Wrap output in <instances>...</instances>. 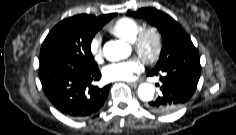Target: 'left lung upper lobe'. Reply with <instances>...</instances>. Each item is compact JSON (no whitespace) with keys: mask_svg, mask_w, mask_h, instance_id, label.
Segmentation results:
<instances>
[{"mask_svg":"<svg viewBox=\"0 0 236 135\" xmlns=\"http://www.w3.org/2000/svg\"><path fill=\"white\" fill-rule=\"evenodd\" d=\"M130 16L146 19L149 24L160 31L164 46L159 60L153 70H160L166 66L183 64L193 54L198 53L190 37L168 14L155 8H141L136 12H130Z\"/></svg>","mask_w":236,"mask_h":135,"instance_id":"5c2ea615","label":"left lung upper lobe"}]
</instances>
